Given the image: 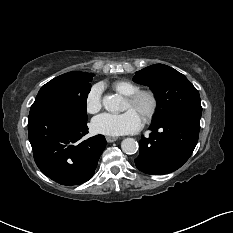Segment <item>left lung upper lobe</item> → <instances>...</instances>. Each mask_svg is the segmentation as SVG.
<instances>
[{
  "label": "left lung upper lobe",
  "instance_id": "5c2ea615",
  "mask_svg": "<svg viewBox=\"0 0 233 233\" xmlns=\"http://www.w3.org/2000/svg\"><path fill=\"white\" fill-rule=\"evenodd\" d=\"M135 74L133 80L148 86L155 94L157 109L154 120L176 112H202L199 92L175 69L163 64H155Z\"/></svg>",
  "mask_w": 233,
  "mask_h": 233
}]
</instances>
